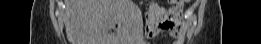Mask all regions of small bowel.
I'll return each mask as SVG.
<instances>
[{
	"label": "small bowel",
	"mask_w": 261,
	"mask_h": 44,
	"mask_svg": "<svg viewBox=\"0 0 261 44\" xmlns=\"http://www.w3.org/2000/svg\"><path fill=\"white\" fill-rule=\"evenodd\" d=\"M183 6H162L153 3L149 8V21L147 35L156 36L159 32L166 33L174 38L175 43H179L184 38L186 23L182 16ZM162 16H164L162 18Z\"/></svg>",
	"instance_id": "1"
}]
</instances>
